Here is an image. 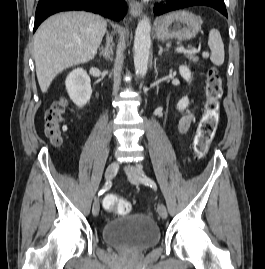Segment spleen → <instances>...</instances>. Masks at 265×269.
I'll return each instance as SVG.
<instances>
[{"mask_svg": "<svg viewBox=\"0 0 265 269\" xmlns=\"http://www.w3.org/2000/svg\"><path fill=\"white\" fill-rule=\"evenodd\" d=\"M208 46L211 51V62L216 66H221L224 63V44L218 30L212 29L209 32Z\"/></svg>", "mask_w": 265, "mask_h": 269, "instance_id": "spleen-1", "label": "spleen"}]
</instances>
